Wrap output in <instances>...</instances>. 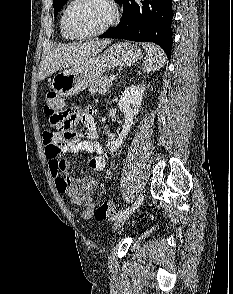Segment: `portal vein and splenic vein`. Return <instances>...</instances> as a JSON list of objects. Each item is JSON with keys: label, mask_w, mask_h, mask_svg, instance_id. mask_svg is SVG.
<instances>
[{"label": "portal vein and splenic vein", "mask_w": 233, "mask_h": 294, "mask_svg": "<svg viewBox=\"0 0 233 294\" xmlns=\"http://www.w3.org/2000/svg\"><path fill=\"white\" fill-rule=\"evenodd\" d=\"M115 79H116V78H115L114 75L110 76V80H115Z\"/></svg>", "instance_id": "18ae733b"}]
</instances>
